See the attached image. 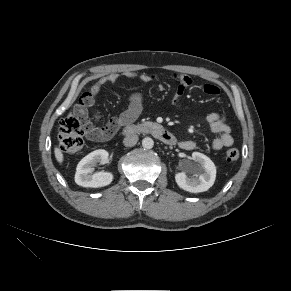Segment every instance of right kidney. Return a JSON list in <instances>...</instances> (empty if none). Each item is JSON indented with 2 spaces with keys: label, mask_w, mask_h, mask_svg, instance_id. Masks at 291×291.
I'll return each instance as SVG.
<instances>
[{
  "label": "right kidney",
  "mask_w": 291,
  "mask_h": 291,
  "mask_svg": "<svg viewBox=\"0 0 291 291\" xmlns=\"http://www.w3.org/2000/svg\"><path fill=\"white\" fill-rule=\"evenodd\" d=\"M108 152L103 149L95 150L85 156L77 165L75 182L82 187L98 188L109 185L113 181L111 172L92 173L97 163H107Z\"/></svg>",
  "instance_id": "ca27d5eb"
}]
</instances>
